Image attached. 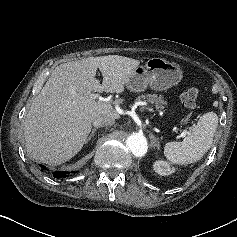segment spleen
<instances>
[{"label": "spleen", "mask_w": 237, "mask_h": 237, "mask_svg": "<svg viewBox=\"0 0 237 237\" xmlns=\"http://www.w3.org/2000/svg\"><path fill=\"white\" fill-rule=\"evenodd\" d=\"M218 126V116L214 112L203 114L192 132L181 142H168L164 154L171 163L187 165L201 160L210 148Z\"/></svg>", "instance_id": "spleen-1"}]
</instances>
